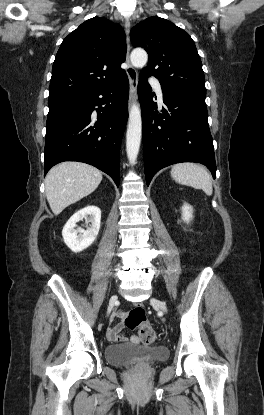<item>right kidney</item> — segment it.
I'll list each match as a JSON object with an SVG mask.
<instances>
[{"mask_svg": "<svg viewBox=\"0 0 264 415\" xmlns=\"http://www.w3.org/2000/svg\"><path fill=\"white\" fill-rule=\"evenodd\" d=\"M85 219L90 222L86 230L75 229L76 223ZM101 223V210L97 206H87L76 212L65 224L62 236L65 244L75 253L88 248L96 239Z\"/></svg>", "mask_w": 264, "mask_h": 415, "instance_id": "obj_1", "label": "right kidney"}]
</instances>
